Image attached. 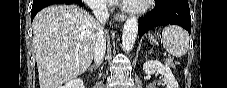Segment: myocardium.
Listing matches in <instances>:
<instances>
[{
    "label": "myocardium",
    "mask_w": 227,
    "mask_h": 88,
    "mask_svg": "<svg viewBox=\"0 0 227 88\" xmlns=\"http://www.w3.org/2000/svg\"><path fill=\"white\" fill-rule=\"evenodd\" d=\"M152 2V0H144L141 1L139 4L132 5L126 8L127 12H132V13H141L145 11L149 4Z\"/></svg>",
    "instance_id": "f54148a6"
}]
</instances>
